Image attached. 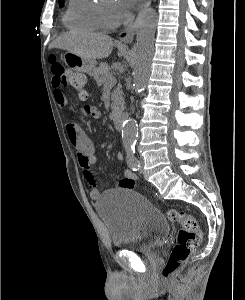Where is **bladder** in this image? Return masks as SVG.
Returning <instances> with one entry per match:
<instances>
[{"label": "bladder", "mask_w": 245, "mask_h": 300, "mask_svg": "<svg viewBox=\"0 0 245 300\" xmlns=\"http://www.w3.org/2000/svg\"><path fill=\"white\" fill-rule=\"evenodd\" d=\"M96 210L114 248L151 253L164 243L170 231L168 222L152 203L129 189L105 192Z\"/></svg>", "instance_id": "31cf9c89"}]
</instances>
